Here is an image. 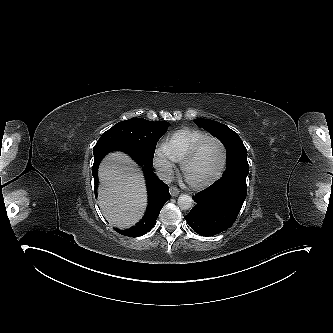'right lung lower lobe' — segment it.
<instances>
[{
	"label": "right lung lower lobe",
	"mask_w": 333,
	"mask_h": 333,
	"mask_svg": "<svg viewBox=\"0 0 333 333\" xmlns=\"http://www.w3.org/2000/svg\"><path fill=\"white\" fill-rule=\"evenodd\" d=\"M115 150L127 153L139 165H143L145 169L144 173L148 189V206L143 219L135 226L126 230L115 228V230L122 235L138 237L146 234L154 227L163 205L170 199L169 188L151 170L152 163L146 160L130 142L119 135L108 133L106 131L102 134L93 148L94 164L92 174L95 181V197H97V187L99 182L97 175L99 163L107 153Z\"/></svg>",
	"instance_id": "obj_1"
}]
</instances>
